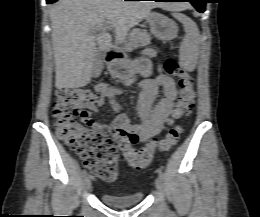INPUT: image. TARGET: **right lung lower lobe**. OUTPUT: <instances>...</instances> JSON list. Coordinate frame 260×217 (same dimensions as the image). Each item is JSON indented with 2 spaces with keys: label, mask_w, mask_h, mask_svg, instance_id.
Wrapping results in <instances>:
<instances>
[{
  "label": "right lung lower lobe",
  "mask_w": 260,
  "mask_h": 217,
  "mask_svg": "<svg viewBox=\"0 0 260 217\" xmlns=\"http://www.w3.org/2000/svg\"><path fill=\"white\" fill-rule=\"evenodd\" d=\"M46 1H47V4H50V3L56 2L57 0H46ZM126 1H130V0H126Z\"/></svg>",
  "instance_id": "1"
}]
</instances>
